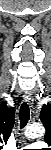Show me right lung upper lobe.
<instances>
[{
  "mask_svg": "<svg viewBox=\"0 0 51 150\" xmlns=\"http://www.w3.org/2000/svg\"><path fill=\"white\" fill-rule=\"evenodd\" d=\"M14 116V107L8 108L6 104H0V144L7 142L12 131Z\"/></svg>",
  "mask_w": 51,
  "mask_h": 150,
  "instance_id": "cb5924a9",
  "label": "right lung upper lobe"
}]
</instances>
